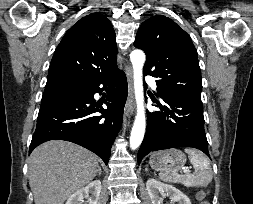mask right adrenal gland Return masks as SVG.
<instances>
[{
    "mask_svg": "<svg viewBox=\"0 0 253 204\" xmlns=\"http://www.w3.org/2000/svg\"><path fill=\"white\" fill-rule=\"evenodd\" d=\"M98 175L99 176L101 175V168H99Z\"/></svg>",
    "mask_w": 253,
    "mask_h": 204,
    "instance_id": "right-adrenal-gland-1",
    "label": "right adrenal gland"
}]
</instances>
